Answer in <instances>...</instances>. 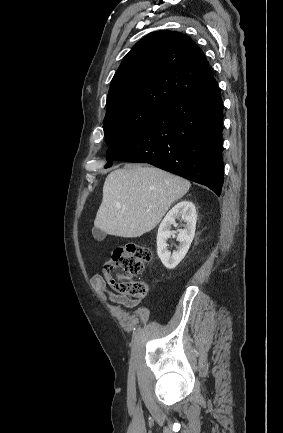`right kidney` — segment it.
Segmentation results:
<instances>
[{"instance_id": "obj_1", "label": "right kidney", "mask_w": 283, "mask_h": 433, "mask_svg": "<svg viewBox=\"0 0 283 433\" xmlns=\"http://www.w3.org/2000/svg\"><path fill=\"white\" fill-rule=\"evenodd\" d=\"M178 218L184 220V229H181L177 236L179 247L170 254L167 250V239L173 235L171 225L175 224ZM196 221L195 205L186 200L176 204L162 220L157 234V254L167 269H174L185 257L195 235Z\"/></svg>"}]
</instances>
